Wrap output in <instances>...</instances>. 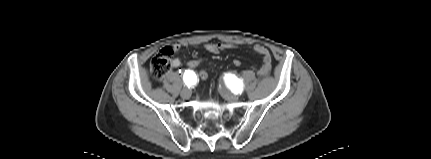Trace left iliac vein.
<instances>
[{
	"mask_svg": "<svg viewBox=\"0 0 431 159\" xmlns=\"http://www.w3.org/2000/svg\"><path fill=\"white\" fill-rule=\"evenodd\" d=\"M222 94L223 96L228 100V101H237L238 100V96L225 90L222 89Z\"/></svg>",
	"mask_w": 431,
	"mask_h": 159,
	"instance_id": "obj_1",
	"label": "left iliac vein"
}]
</instances>
